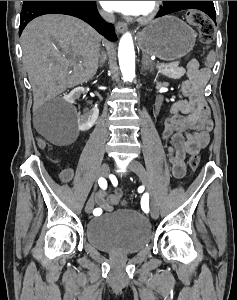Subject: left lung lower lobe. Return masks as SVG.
<instances>
[{
    "mask_svg": "<svg viewBox=\"0 0 237 300\" xmlns=\"http://www.w3.org/2000/svg\"><path fill=\"white\" fill-rule=\"evenodd\" d=\"M185 9H198L206 13L214 22L216 20L213 1H175L167 6L159 16ZM216 24V22H215Z\"/></svg>",
    "mask_w": 237,
    "mask_h": 300,
    "instance_id": "1",
    "label": "left lung lower lobe"
}]
</instances>
